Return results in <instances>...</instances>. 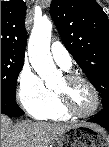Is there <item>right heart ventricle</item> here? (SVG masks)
<instances>
[{"label": "right heart ventricle", "instance_id": "e07e8e85", "mask_svg": "<svg viewBox=\"0 0 109 147\" xmlns=\"http://www.w3.org/2000/svg\"><path fill=\"white\" fill-rule=\"evenodd\" d=\"M34 117L38 119H51V120H67L72 115H70L62 106L59 97L54 94L53 104L49 107L37 111Z\"/></svg>", "mask_w": 109, "mask_h": 147}]
</instances>
